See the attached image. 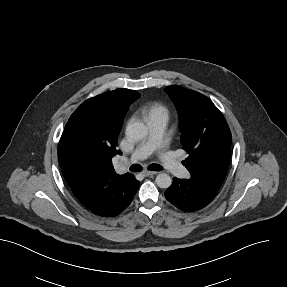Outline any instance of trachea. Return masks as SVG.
Masks as SVG:
<instances>
[{
	"label": "trachea",
	"instance_id": "trachea-1",
	"mask_svg": "<svg viewBox=\"0 0 287 287\" xmlns=\"http://www.w3.org/2000/svg\"><path fill=\"white\" fill-rule=\"evenodd\" d=\"M148 169L152 171H160L163 168L159 164H151L148 166ZM129 170L132 172H139L142 170V166H140L139 164H133L129 167Z\"/></svg>",
	"mask_w": 287,
	"mask_h": 287
}]
</instances>
